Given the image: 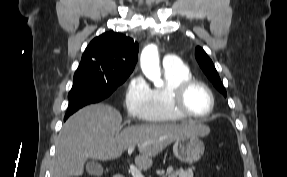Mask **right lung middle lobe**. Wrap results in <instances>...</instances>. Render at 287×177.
<instances>
[{"instance_id": "1", "label": "right lung middle lobe", "mask_w": 287, "mask_h": 177, "mask_svg": "<svg viewBox=\"0 0 287 177\" xmlns=\"http://www.w3.org/2000/svg\"><path fill=\"white\" fill-rule=\"evenodd\" d=\"M127 78H120L109 82L98 73L78 68L74 74V82L68 98L70 99L83 94H97L107 98Z\"/></svg>"}]
</instances>
